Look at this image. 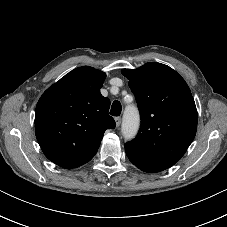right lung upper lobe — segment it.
<instances>
[{
  "instance_id": "1",
  "label": "right lung upper lobe",
  "mask_w": 227,
  "mask_h": 227,
  "mask_svg": "<svg viewBox=\"0 0 227 227\" xmlns=\"http://www.w3.org/2000/svg\"><path fill=\"white\" fill-rule=\"evenodd\" d=\"M106 74L89 66L76 68L48 88L35 111V133L45 156L72 169L96 154L106 129L115 128L108 115L110 100L100 88Z\"/></svg>"
}]
</instances>
